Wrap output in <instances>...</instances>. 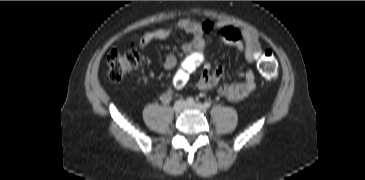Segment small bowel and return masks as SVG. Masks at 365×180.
I'll return each instance as SVG.
<instances>
[{
	"label": "small bowel",
	"mask_w": 365,
	"mask_h": 180,
	"mask_svg": "<svg viewBox=\"0 0 365 180\" xmlns=\"http://www.w3.org/2000/svg\"><path fill=\"white\" fill-rule=\"evenodd\" d=\"M215 29L221 31L222 41L235 46L239 54L248 63L255 62L258 53L261 51V42L257 34L230 24L215 23L209 20L200 21L194 18L180 19L166 28L146 32L140 40V47L144 48L155 40H164L175 31H184L190 34L192 40L181 45L186 58L174 79V83L176 86L183 85L190 75L199 69L200 75L195 86L200 90L208 91L216 87L225 76V68L222 65L213 67L205 54L206 36ZM176 65V56L173 54L167 55L164 68L172 70ZM239 75L242 78L241 82L227 83L220 86L218 94L231 102L241 101L250 96L256 87L254 71L251 69L239 70ZM171 99V91H166L161 96L164 103L169 102Z\"/></svg>",
	"instance_id": "1"
}]
</instances>
